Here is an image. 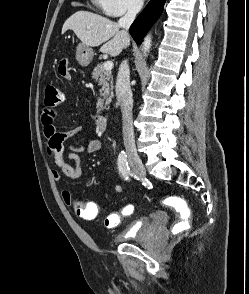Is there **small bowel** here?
<instances>
[{
	"label": "small bowel",
	"mask_w": 249,
	"mask_h": 294,
	"mask_svg": "<svg viewBox=\"0 0 249 294\" xmlns=\"http://www.w3.org/2000/svg\"><path fill=\"white\" fill-rule=\"evenodd\" d=\"M66 79H70L69 74L63 76ZM57 111L55 107L45 106L42 109L40 115V123L43 129L44 136L46 138V147L49 157L52 159L53 166L50 169L52 179L60 183L62 177L65 176L72 181H78L82 176L80 154L87 153L93 154L100 150L101 141L96 137H90L88 141L83 145H70L68 147L69 152L65 153L64 142L72 139L86 131L84 125H78L67 131H59L56 128ZM69 161L74 162V165L70 164ZM113 190L117 194H122L124 189L120 184H114ZM63 201L68 206H74L75 199L68 190L61 192ZM86 209H97V205L93 202L84 203ZM127 207H125L121 213H112L105 218V226L109 229L116 228L121 220L122 216L129 215L126 213ZM98 212L95 213L93 218L87 215L80 216L85 220H91L96 218ZM116 220V222H114Z\"/></svg>",
	"instance_id": "1"
}]
</instances>
